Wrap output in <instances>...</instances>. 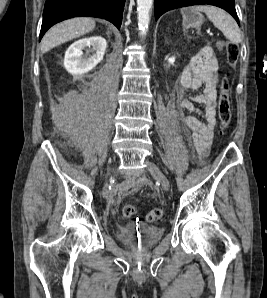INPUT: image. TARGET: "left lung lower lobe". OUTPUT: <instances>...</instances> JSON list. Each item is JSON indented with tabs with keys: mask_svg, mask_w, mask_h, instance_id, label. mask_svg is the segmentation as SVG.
I'll return each instance as SVG.
<instances>
[{
	"mask_svg": "<svg viewBox=\"0 0 267 298\" xmlns=\"http://www.w3.org/2000/svg\"><path fill=\"white\" fill-rule=\"evenodd\" d=\"M199 4L218 6L229 12L239 24L234 0H155V19L157 20L163 13L169 10Z\"/></svg>",
	"mask_w": 267,
	"mask_h": 298,
	"instance_id": "obj_1",
	"label": "left lung lower lobe"
}]
</instances>
